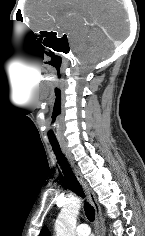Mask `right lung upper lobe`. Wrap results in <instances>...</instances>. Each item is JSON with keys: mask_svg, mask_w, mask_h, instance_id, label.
Instances as JSON below:
<instances>
[{"mask_svg": "<svg viewBox=\"0 0 145 236\" xmlns=\"http://www.w3.org/2000/svg\"><path fill=\"white\" fill-rule=\"evenodd\" d=\"M39 236H50V232L46 227H43Z\"/></svg>", "mask_w": 145, "mask_h": 236, "instance_id": "cb5924a9", "label": "right lung upper lobe"}]
</instances>
